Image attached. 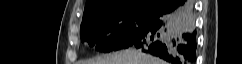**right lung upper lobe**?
I'll list each match as a JSON object with an SVG mask.
<instances>
[{
    "instance_id": "right-lung-upper-lobe-1",
    "label": "right lung upper lobe",
    "mask_w": 242,
    "mask_h": 64,
    "mask_svg": "<svg viewBox=\"0 0 242 64\" xmlns=\"http://www.w3.org/2000/svg\"><path fill=\"white\" fill-rule=\"evenodd\" d=\"M163 0H87L83 21L101 14L124 11L134 8L159 10Z\"/></svg>"
}]
</instances>
